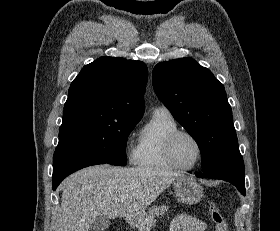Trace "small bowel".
Instances as JSON below:
<instances>
[{
  "label": "small bowel",
  "mask_w": 280,
  "mask_h": 231,
  "mask_svg": "<svg viewBox=\"0 0 280 231\" xmlns=\"http://www.w3.org/2000/svg\"><path fill=\"white\" fill-rule=\"evenodd\" d=\"M204 221L187 214L177 215L170 224V231H205Z\"/></svg>",
  "instance_id": "small-bowel-1"
}]
</instances>
